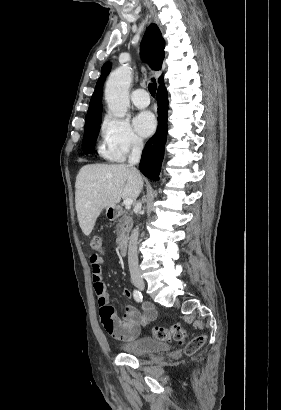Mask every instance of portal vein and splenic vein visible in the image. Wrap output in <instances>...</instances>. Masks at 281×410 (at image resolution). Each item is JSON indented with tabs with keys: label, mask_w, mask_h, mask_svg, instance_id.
I'll return each instance as SVG.
<instances>
[{
	"label": "portal vein and splenic vein",
	"mask_w": 281,
	"mask_h": 410,
	"mask_svg": "<svg viewBox=\"0 0 281 410\" xmlns=\"http://www.w3.org/2000/svg\"><path fill=\"white\" fill-rule=\"evenodd\" d=\"M123 203H124L125 207L127 209H129L131 207L132 203H133V200L130 199V198H126V199H124Z\"/></svg>",
	"instance_id": "portal-vein-and-splenic-vein-1"
}]
</instances>
